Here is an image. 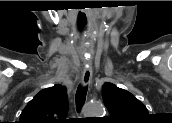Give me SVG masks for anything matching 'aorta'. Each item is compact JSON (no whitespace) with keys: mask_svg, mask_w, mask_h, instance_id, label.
<instances>
[{"mask_svg":"<svg viewBox=\"0 0 172 123\" xmlns=\"http://www.w3.org/2000/svg\"><path fill=\"white\" fill-rule=\"evenodd\" d=\"M104 108L98 103H88L85 108V115L88 117H102Z\"/></svg>","mask_w":172,"mask_h":123,"instance_id":"aorta-1","label":"aorta"}]
</instances>
